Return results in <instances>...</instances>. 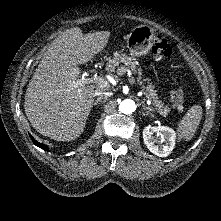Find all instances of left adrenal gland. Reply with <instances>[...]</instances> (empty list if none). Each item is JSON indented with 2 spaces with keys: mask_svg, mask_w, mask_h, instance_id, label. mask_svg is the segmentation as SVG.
I'll list each match as a JSON object with an SVG mask.
<instances>
[{
  "mask_svg": "<svg viewBox=\"0 0 221 221\" xmlns=\"http://www.w3.org/2000/svg\"><path fill=\"white\" fill-rule=\"evenodd\" d=\"M143 109H144V110H150V111H153L152 108H150L149 106H145V105H143Z\"/></svg>",
  "mask_w": 221,
  "mask_h": 221,
  "instance_id": "obj_1",
  "label": "left adrenal gland"
}]
</instances>
